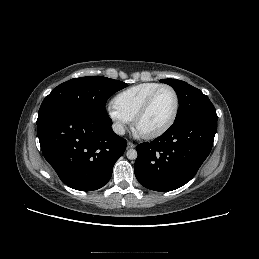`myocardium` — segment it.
<instances>
[{"instance_id":"obj_1","label":"myocardium","mask_w":259,"mask_h":259,"mask_svg":"<svg viewBox=\"0 0 259 259\" xmlns=\"http://www.w3.org/2000/svg\"><path fill=\"white\" fill-rule=\"evenodd\" d=\"M170 89L173 94H174V98H175V106H174V110L173 113L170 117V119L159 129L150 132V133H142L139 131L138 126L140 121L145 117V115L148 113L152 102L156 96V94L161 90V89ZM179 107H180V98H179V94L177 92V90L168 84H161L159 85L157 88H155L150 94L149 96L146 98L145 102L143 103V105L141 106V108L139 109V111L137 112L136 116L133 119V127L134 130L136 131V133L145 138V139H155L160 137L161 135H163L164 133H166L174 124V122L176 121V118L178 116V112H179Z\"/></svg>"}]
</instances>
